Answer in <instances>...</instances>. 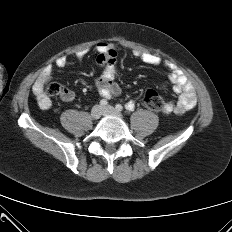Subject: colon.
Returning <instances> with one entry per match:
<instances>
[{"mask_svg":"<svg viewBox=\"0 0 232 232\" xmlns=\"http://www.w3.org/2000/svg\"><path fill=\"white\" fill-rule=\"evenodd\" d=\"M43 86L44 90L49 95L61 96L66 93L64 87L56 82H51L46 85L43 82ZM143 104L146 108L155 112H162L165 109V102L163 97L158 92L152 89H149L145 92L143 97Z\"/></svg>","mask_w":232,"mask_h":232,"instance_id":"5ec220e1","label":"colon"}]
</instances>
